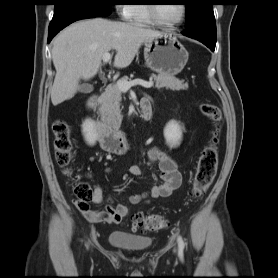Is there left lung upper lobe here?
<instances>
[{"instance_id": "5c2ea615", "label": "left lung upper lobe", "mask_w": 278, "mask_h": 278, "mask_svg": "<svg viewBox=\"0 0 278 278\" xmlns=\"http://www.w3.org/2000/svg\"><path fill=\"white\" fill-rule=\"evenodd\" d=\"M186 29H198L208 38L216 40V22L212 5L214 0H185Z\"/></svg>"}]
</instances>
